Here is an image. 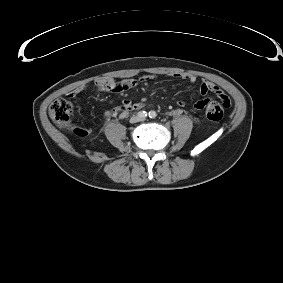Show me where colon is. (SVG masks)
Segmentation results:
<instances>
[{"label": "colon", "instance_id": "obj_1", "mask_svg": "<svg viewBox=\"0 0 283 283\" xmlns=\"http://www.w3.org/2000/svg\"><path fill=\"white\" fill-rule=\"evenodd\" d=\"M219 101H212L206 108V116L211 121H219L223 118L224 109L230 107V100L220 93ZM72 114V105L64 98L54 100L49 107L51 119L60 127H68ZM79 136H86L90 130L87 127H74L72 129Z\"/></svg>", "mask_w": 283, "mask_h": 283}]
</instances>
